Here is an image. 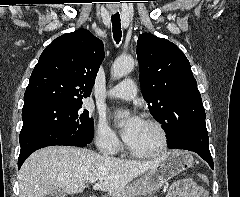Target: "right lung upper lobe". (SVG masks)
I'll list each match as a JSON object with an SVG mask.
<instances>
[{
	"mask_svg": "<svg viewBox=\"0 0 240 197\" xmlns=\"http://www.w3.org/2000/svg\"><path fill=\"white\" fill-rule=\"evenodd\" d=\"M103 59L102 41L86 29L56 38L44 49L31 74L22 110L82 103L91 94Z\"/></svg>",
	"mask_w": 240,
	"mask_h": 197,
	"instance_id": "right-lung-upper-lobe-1",
	"label": "right lung upper lobe"
}]
</instances>
